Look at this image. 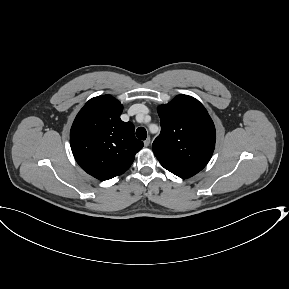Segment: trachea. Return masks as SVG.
<instances>
[{"label": "trachea", "mask_w": 289, "mask_h": 289, "mask_svg": "<svg viewBox=\"0 0 289 289\" xmlns=\"http://www.w3.org/2000/svg\"><path fill=\"white\" fill-rule=\"evenodd\" d=\"M136 136H137V138H139L141 140H145L147 137L146 129L144 127H139L136 130Z\"/></svg>", "instance_id": "3493384b"}]
</instances>
